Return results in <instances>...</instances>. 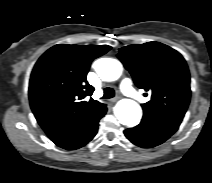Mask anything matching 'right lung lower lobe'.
Here are the masks:
<instances>
[{
  "mask_svg": "<svg viewBox=\"0 0 212 183\" xmlns=\"http://www.w3.org/2000/svg\"><path fill=\"white\" fill-rule=\"evenodd\" d=\"M104 115L105 114H103L101 117H103ZM99 119H97L94 123L86 126L78 133L58 140H54L53 142L59 147L67 150H75L81 148L82 146L86 145L89 141H91L93 137L96 135L98 130Z\"/></svg>",
  "mask_w": 212,
  "mask_h": 183,
  "instance_id": "obj_1",
  "label": "right lung lower lobe"
}]
</instances>
